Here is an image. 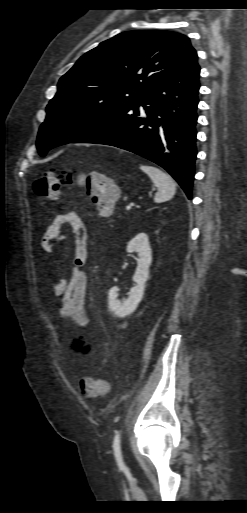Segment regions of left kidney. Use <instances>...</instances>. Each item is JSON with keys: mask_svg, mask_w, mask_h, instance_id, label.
<instances>
[{"mask_svg": "<svg viewBox=\"0 0 247 513\" xmlns=\"http://www.w3.org/2000/svg\"><path fill=\"white\" fill-rule=\"evenodd\" d=\"M127 252H137V268L133 275L136 283L128 293V298L118 300V287H113L108 292V306L116 317H125L135 311L140 303L145 283L149 277V267L152 263V251L147 234H137L127 245Z\"/></svg>", "mask_w": 247, "mask_h": 513, "instance_id": "left-kidney-1", "label": "left kidney"}]
</instances>
